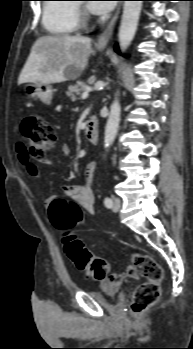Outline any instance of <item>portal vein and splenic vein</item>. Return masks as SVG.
Returning a JSON list of instances; mask_svg holds the SVG:
<instances>
[{"mask_svg":"<svg viewBox=\"0 0 193 349\" xmlns=\"http://www.w3.org/2000/svg\"><path fill=\"white\" fill-rule=\"evenodd\" d=\"M88 96H89V91L86 90V91H84V92L82 93L81 98H82V99H86Z\"/></svg>","mask_w":193,"mask_h":349,"instance_id":"18ae733b","label":"portal vein and splenic vein"}]
</instances>
